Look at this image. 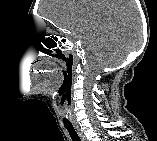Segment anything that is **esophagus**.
Returning <instances> with one entry per match:
<instances>
[{"label":"esophagus","mask_w":157,"mask_h":141,"mask_svg":"<svg viewBox=\"0 0 157 141\" xmlns=\"http://www.w3.org/2000/svg\"><path fill=\"white\" fill-rule=\"evenodd\" d=\"M76 129H77V132H78V134H79L81 140H82V141H85V136L83 135V133L80 131V129H79L78 127H76Z\"/></svg>","instance_id":"34e87169"}]
</instances>
